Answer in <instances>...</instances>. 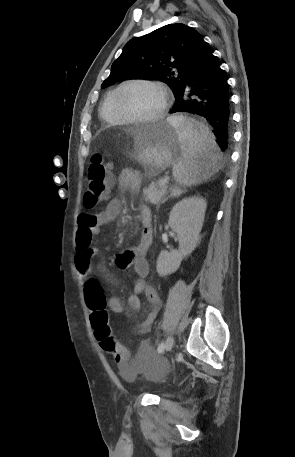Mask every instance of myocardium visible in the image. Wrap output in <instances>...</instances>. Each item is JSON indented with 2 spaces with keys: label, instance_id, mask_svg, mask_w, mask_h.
<instances>
[{
  "label": "myocardium",
  "instance_id": "myocardium-1",
  "mask_svg": "<svg viewBox=\"0 0 295 457\" xmlns=\"http://www.w3.org/2000/svg\"><path fill=\"white\" fill-rule=\"evenodd\" d=\"M137 85H148V86H154L157 87L161 90L163 97H164V102L163 105L160 109V111L152 116L149 117H135L127 113L121 106L120 104V97L122 93L132 87V86H137ZM171 103V95L169 89L161 82L156 81V80H146V79H139V80H131L128 82H125L121 84L113 98V108L115 112L126 122L130 123H150V122H155L160 120L168 111Z\"/></svg>",
  "mask_w": 295,
  "mask_h": 457
}]
</instances>
